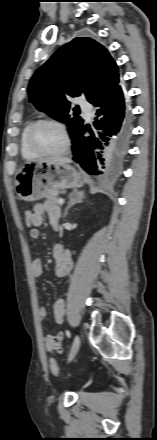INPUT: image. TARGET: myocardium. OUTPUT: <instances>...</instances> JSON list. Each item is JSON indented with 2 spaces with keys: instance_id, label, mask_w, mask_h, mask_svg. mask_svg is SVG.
I'll return each mask as SVG.
<instances>
[{
  "instance_id": "1",
  "label": "myocardium",
  "mask_w": 157,
  "mask_h": 440,
  "mask_svg": "<svg viewBox=\"0 0 157 440\" xmlns=\"http://www.w3.org/2000/svg\"><path fill=\"white\" fill-rule=\"evenodd\" d=\"M42 125H53L56 126L61 131L64 137V146L60 151L50 153V152L42 151L41 149L38 148V146L35 143V134L38 128ZM28 144L29 147L40 156L57 157V156L65 155L66 153L69 152L71 148V137L69 135L66 126L61 121L51 118H45V119L37 120L30 128L28 133Z\"/></svg>"
}]
</instances>
